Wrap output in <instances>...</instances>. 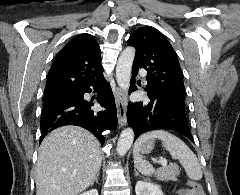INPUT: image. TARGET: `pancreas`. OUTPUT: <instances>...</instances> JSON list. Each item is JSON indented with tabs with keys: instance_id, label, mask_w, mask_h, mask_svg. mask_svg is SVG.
Here are the masks:
<instances>
[{
	"instance_id": "1",
	"label": "pancreas",
	"mask_w": 240,
	"mask_h": 195,
	"mask_svg": "<svg viewBox=\"0 0 240 195\" xmlns=\"http://www.w3.org/2000/svg\"><path fill=\"white\" fill-rule=\"evenodd\" d=\"M179 173L178 165H165V167H158L154 177L161 181H178Z\"/></svg>"
}]
</instances>
